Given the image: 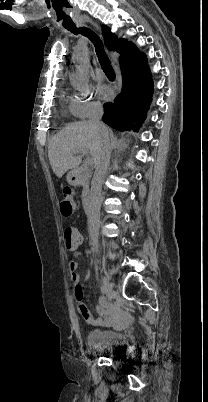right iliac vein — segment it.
<instances>
[{
	"label": "right iliac vein",
	"instance_id": "obj_1",
	"mask_svg": "<svg viewBox=\"0 0 208 402\" xmlns=\"http://www.w3.org/2000/svg\"><path fill=\"white\" fill-rule=\"evenodd\" d=\"M104 286L107 289L109 300L112 301L115 295L113 290V284L106 277H104Z\"/></svg>",
	"mask_w": 208,
	"mask_h": 402
}]
</instances>
